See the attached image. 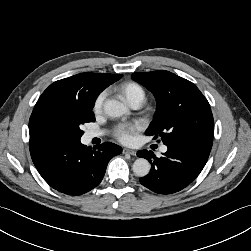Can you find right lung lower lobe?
Instances as JSON below:
<instances>
[{
    "label": "right lung lower lobe",
    "mask_w": 251,
    "mask_h": 251,
    "mask_svg": "<svg viewBox=\"0 0 251 251\" xmlns=\"http://www.w3.org/2000/svg\"><path fill=\"white\" fill-rule=\"evenodd\" d=\"M122 152L114 143L105 142L93 149L79 140H30V154L42 178L54 189L81 195L103 179L108 162Z\"/></svg>",
    "instance_id": "1"
}]
</instances>
